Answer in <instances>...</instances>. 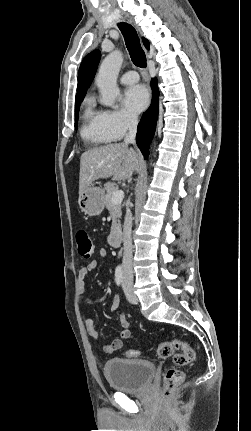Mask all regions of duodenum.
<instances>
[{
  "label": "duodenum",
  "mask_w": 251,
  "mask_h": 431,
  "mask_svg": "<svg viewBox=\"0 0 251 431\" xmlns=\"http://www.w3.org/2000/svg\"><path fill=\"white\" fill-rule=\"evenodd\" d=\"M122 240V231L120 228H114L109 235V243L113 247H118Z\"/></svg>",
  "instance_id": "obj_1"
}]
</instances>
